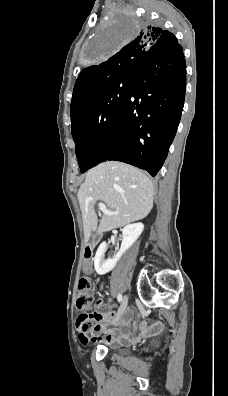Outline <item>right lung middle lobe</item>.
I'll use <instances>...</instances> for the list:
<instances>
[{"label": "right lung middle lobe", "instance_id": "1", "mask_svg": "<svg viewBox=\"0 0 228 396\" xmlns=\"http://www.w3.org/2000/svg\"><path fill=\"white\" fill-rule=\"evenodd\" d=\"M146 24L127 14L113 28L104 30L93 44L94 59H103ZM132 77L120 78L106 86L71 119L72 136L81 173L105 157L111 130L131 87Z\"/></svg>", "mask_w": 228, "mask_h": 396}]
</instances>
